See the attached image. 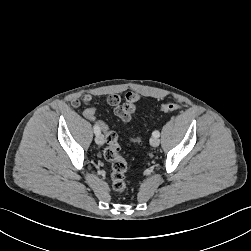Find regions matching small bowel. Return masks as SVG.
I'll use <instances>...</instances> for the list:
<instances>
[{
	"label": "small bowel",
	"instance_id": "c3829d8e",
	"mask_svg": "<svg viewBox=\"0 0 251 251\" xmlns=\"http://www.w3.org/2000/svg\"><path fill=\"white\" fill-rule=\"evenodd\" d=\"M139 99L140 96L136 92H127L124 97V102H122L121 97L118 94H111L107 98V103L113 107L115 115L123 122H130L136 112V104ZM91 100L92 97L90 95H83L81 99L72 101L71 107L76 110H81V103H89Z\"/></svg>",
	"mask_w": 251,
	"mask_h": 251
}]
</instances>
